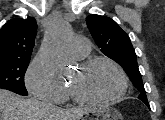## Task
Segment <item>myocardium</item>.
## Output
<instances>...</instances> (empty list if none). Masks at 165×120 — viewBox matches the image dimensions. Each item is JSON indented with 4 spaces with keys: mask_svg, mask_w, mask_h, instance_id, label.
I'll return each instance as SVG.
<instances>
[{
    "mask_svg": "<svg viewBox=\"0 0 165 120\" xmlns=\"http://www.w3.org/2000/svg\"><path fill=\"white\" fill-rule=\"evenodd\" d=\"M99 64L110 65L118 72V74L120 75V78H121L120 91L111 97L97 99V98H92V97L85 95L79 89V87H77L76 85H70L69 86L70 91H71L73 97L75 98V100H77L78 102L87 103V104H108V103H112V102H115V101L121 99L126 94V92L128 90V77H127L124 69L114 60H111V59L105 58V57L91 58V59L83 61L80 64L79 69L82 72H86L89 69H91L92 67L99 65Z\"/></svg>",
    "mask_w": 165,
    "mask_h": 120,
    "instance_id": "f54148a6",
    "label": "myocardium"
}]
</instances>
